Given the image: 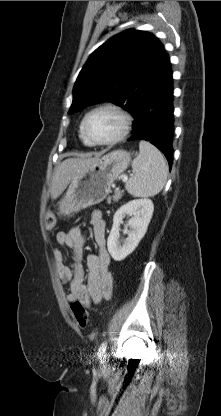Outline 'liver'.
<instances>
[{
    "label": "liver",
    "instance_id": "6515ba94",
    "mask_svg": "<svg viewBox=\"0 0 221 416\" xmlns=\"http://www.w3.org/2000/svg\"><path fill=\"white\" fill-rule=\"evenodd\" d=\"M99 157L68 158L55 168L52 184L51 198L56 199L66 189L70 181L81 171L96 163Z\"/></svg>",
    "mask_w": 221,
    "mask_h": 416
}]
</instances>
